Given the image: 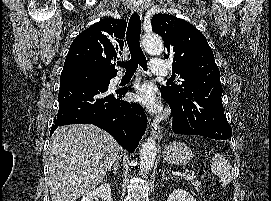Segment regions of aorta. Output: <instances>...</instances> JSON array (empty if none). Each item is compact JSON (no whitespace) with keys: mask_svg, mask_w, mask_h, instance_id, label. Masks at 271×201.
Instances as JSON below:
<instances>
[{"mask_svg":"<svg viewBox=\"0 0 271 201\" xmlns=\"http://www.w3.org/2000/svg\"><path fill=\"white\" fill-rule=\"evenodd\" d=\"M142 45L148 53H161L163 42L159 35L146 33L142 37ZM157 153V144L153 138H148L140 150V168L142 173L148 174L153 167Z\"/></svg>","mask_w":271,"mask_h":201,"instance_id":"762f6f07","label":"aorta"}]
</instances>
